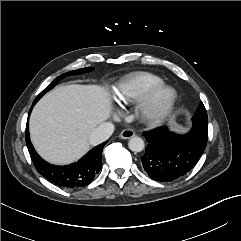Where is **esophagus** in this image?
Returning a JSON list of instances; mask_svg holds the SVG:
<instances>
[{
  "label": "esophagus",
  "mask_w": 241,
  "mask_h": 241,
  "mask_svg": "<svg viewBox=\"0 0 241 241\" xmlns=\"http://www.w3.org/2000/svg\"><path fill=\"white\" fill-rule=\"evenodd\" d=\"M133 136H135V132L132 129H124L119 135L121 139H130Z\"/></svg>",
  "instance_id": "34e87169"
}]
</instances>
